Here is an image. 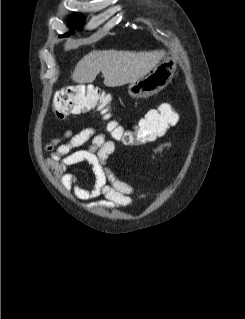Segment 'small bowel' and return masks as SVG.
<instances>
[{
  "label": "small bowel",
  "mask_w": 245,
  "mask_h": 319,
  "mask_svg": "<svg viewBox=\"0 0 245 319\" xmlns=\"http://www.w3.org/2000/svg\"><path fill=\"white\" fill-rule=\"evenodd\" d=\"M165 106L169 105L163 104L159 108ZM87 143L88 147L82 148ZM168 145L159 144L153 149V155ZM45 149L51 152L46 158L47 166L66 190H74L81 200L104 197L103 201L90 203L91 207L112 209L132 204L133 187L118 178L107 165L108 158L116 150V144L106 134L98 133L94 128H85L76 133L66 130L62 136L48 142ZM83 163L88 164L94 174L95 182L90 190L78 183L75 174L68 172V168Z\"/></svg>",
  "instance_id": "1"
}]
</instances>
